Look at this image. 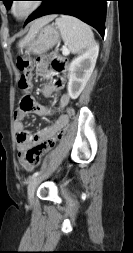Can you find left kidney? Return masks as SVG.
<instances>
[{
    "instance_id": "1",
    "label": "left kidney",
    "mask_w": 133,
    "mask_h": 253,
    "mask_svg": "<svg viewBox=\"0 0 133 253\" xmlns=\"http://www.w3.org/2000/svg\"><path fill=\"white\" fill-rule=\"evenodd\" d=\"M99 47L94 44L85 53L72 60L68 67V94L76 99L86 86L95 68Z\"/></svg>"
}]
</instances>
